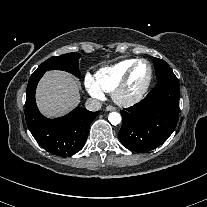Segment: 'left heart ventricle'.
<instances>
[{
  "instance_id": "b2bd125f",
  "label": "left heart ventricle",
  "mask_w": 207,
  "mask_h": 207,
  "mask_svg": "<svg viewBox=\"0 0 207 207\" xmlns=\"http://www.w3.org/2000/svg\"><path fill=\"white\" fill-rule=\"evenodd\" d=\"M148 66L144 63H139L134 68L128 86L125 89V95L130 96L136 93L146 82L148 77Z\"/></svg>"
}]
</instances>
